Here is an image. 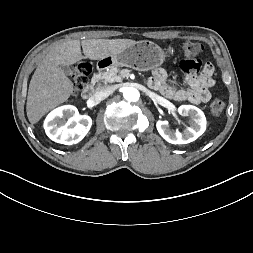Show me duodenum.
Masks as SVG:
<instances>
[{"label": "duodenum", "instance_id": "obj_1", "mask_svg": "<svg viewBox=\"0 0 253 253\" xmlns=\"http://www.w3.org/2000/svg\"><path fill=\"white\" fill-rule=\"evenodd\" d=\"M97 80H98V76L96 75L93 78V80L83 89L82 97L84 99H89L92 96Z\"/></svg>", "mask_w": 253, "mask_h": 253}]
</instances>
